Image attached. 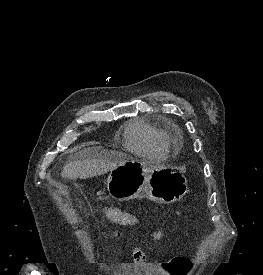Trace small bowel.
Here are the masks:
<instances>
[{"label":"small bowel","instance_id":"obj_1","mask_svg":"<svg viewBox=\"0 0 263 275\" xmlns=\"http://www.w3.org/2000/svg\"><path fill=\"white\" fill-rule=\"evenodd\" d=\"M163 232L161 230H153L149 232V236L152 240L158 241L163 237ZM146 261V255L144 251L136 247L133 252V264L135 268H140ZM155 263L160 264L161 267L170 273V264L168 263H159L158 261H155ZM191 268V264L183 271V274H186L189 272Z\"/></svg>","mask_w":263,"mask_h":275}]
</instances>
